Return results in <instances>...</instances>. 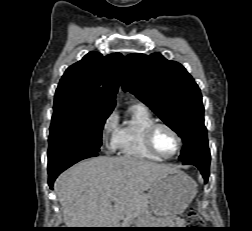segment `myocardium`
<instances>
[{"instance_id": "f54148a6", "label": "myocardium", "mask_w": 252, "mask_h": 231, "mask_svg": "<svg viewBox=\"0 0 252 231\" xmlns=\"http://www.w3.org/2000/svg\"><path fill=\"white\" fill-rule=\"evenodd\" d=\"M161 127L166 128L169 132H171V134L176 138L177 143H178L176 151L170 156H163L156 149L154 142H153V137H154L155 131ZM145 144H146V147L148 148V150L152 154L157 156L158 158H160L162 160H170V159H173L174 157H176L180 153V151L183 147V140H182L181 136L179 135V133L171 125L164 123V122H155L152 125H150L145 132Z\"/></svg>"}]
</instances>
